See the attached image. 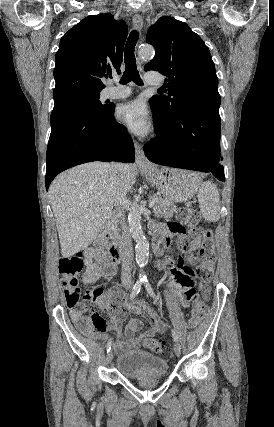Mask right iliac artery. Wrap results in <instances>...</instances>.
<instances>
[{
	"mask_svg": "<svg viewBox=\"0 0 274 427\" xmlns=\"http://www.w3.org/2000/svg\"><path fill=\"white\" fill-rule=\"evenodd\" d=\"M141 285H142V281H137L135 283L130 294V300H133L138 295L141 289ZM111 347H112V339H110L107 343V353L111 350Z\"/></svg>",
	"mask_w": 274,
	"mask_h": 427,
	"instance_id": "obj_1",
	"label": "right iliac artery"
}]
</instances>
